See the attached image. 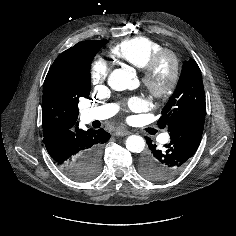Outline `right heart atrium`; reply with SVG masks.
I'll return each mask as SVG.
<instances>
[{
	"label": "right heart atrium",
	"mask_w": 236,
	"mask_h": 236,
	"mask_svg": "<svg viewBox=\"0 0 236 236\" xmlns=\"http://www.w3.org/2000/svg\"><path fill=\"white\" fill-rule=\"evenodd\" d=\"M109 73V66L102 58H96L90 66V79L94 86L103 84Z\"/></svg>",
	"instance_id": "1"
}]
</instances>
